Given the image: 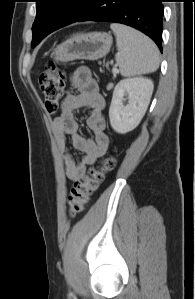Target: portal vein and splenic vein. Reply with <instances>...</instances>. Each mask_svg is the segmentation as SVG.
<instances>
[{"label": "portal vein and splenic vein", "mask_w": 195, "mask_h": 299, "mask_svg": "<svg viewBox=\"0 0 195 299\" xmlns=\"http://www.w3.org/2000/svg\"><path fill=\"white\" fill-rule=\"evenodd\" d=\"M112 72H113L114 74H117V73L119 72V70H118L116 67H114V68L112 69Z\"/></svg>", "instance_id": "obj_1"}]
</instances>
